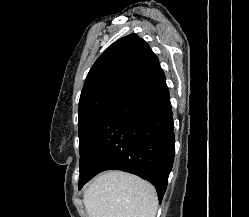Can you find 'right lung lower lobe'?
<instances>
[{
  "label": "right lung lower lobe",
  "mask_w": 249,
  "mask_h": 217,
  "mask_svg": "<svg viewBox=\"0 0 249 217\" xmlns=\"http://www.w3.org/2000/svg\"><path fill=\"white\" fill-rule=\"evenodd\" d=\"M174 124L165 75L156 65L111 107L80 162L79 189L105 170L151 182L161 202L175 151Z\"/></svg>",
  "instance_id": "98d812e1"
}]
</instances>
